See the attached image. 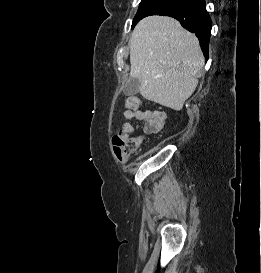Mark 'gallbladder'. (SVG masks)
Here are the masks:
<instances>
[{
  "mask_svg": "<svg viewBox=\"0 0 261 273\" xmlns=\"http://www.w3.org/2000/svg\"><path fill=\"white\" fill-rule=\"evenodd\" d=\"M139 80L134 77H130L124 87V94L127 96H134L139 92Z\"/></svg>",
  "mask_w": 261,
  "mask_h": 273,
  "instance_id": "bac80fb5",
  "label": "gallbladder"
}]
</instances>
